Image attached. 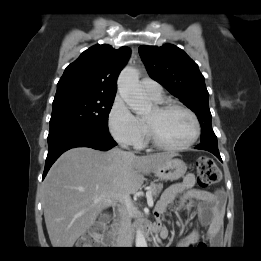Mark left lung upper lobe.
I'll return each instance as SVG.
<instances>
[{"label":"left lung upper lobe","mask_w":261,"mask_h":261,"mask_svg":"<svg viewBox=\"0 0 261 261\" xmlns=\"http://www.w3.org/2000/svg\"><path fill=\"white\" fill-rule=\"evenodd\" d=\"M139 54L149 76L197 115L201 125V142L217 141L211 126L209 93L198 65L182 49L172 44L161 47L142 45Z\"/></svg>","instance_id":"obj_1"}]
</instances>
